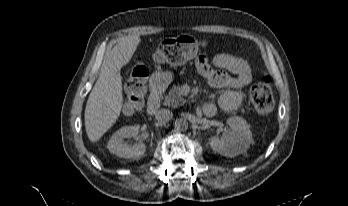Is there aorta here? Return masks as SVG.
<instances>
[{"instance_id":"762f6f07","label":"aorta","mask_w":348,"mask_h":206,"mask_svg":"<svg viewBox=\"0 0 348 206\" xmlns=\"http://www.w3.org/2000/svg\"><path fill=\"white\" fill-rule=\"evenodd\" d=\"M175 128L177 130H185L188 128V122L186 119L180 118L175 121Z\"/></svg>"}]
</instances>
